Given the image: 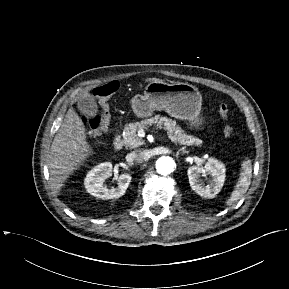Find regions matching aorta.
I'll return each mask as SVG.
<instances>
[{"instance_id":"1","label":"aorta","mask_w":289,"mask_h":289,"mask_svg":"<svg viewBox=\"0 0 289 289\" xmlns=\"http://www.w3.org/2000/svg\"><path fill=\"white\" fill-rule=\"evenodd\" d=\"M175 162L169 156H162L156 161V171L161 175H168L174 171Z\"/></svg>"}]
</instances>
